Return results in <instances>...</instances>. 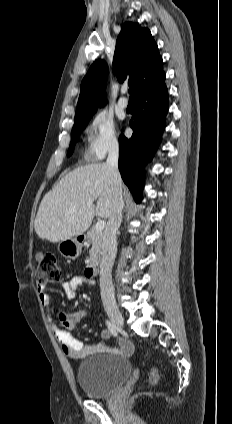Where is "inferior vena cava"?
Returning <instances> with one entry per match:
<instances>
[{
	"label": "inferior vena cava",
	"mask_w": 232,
	"mask_h": 424,
	"mask_svg": "<svg viewBox=\"0 0 232 424\" xmlns=\"http://www.w3.org/2000/svg\"><path fill=\"white\" fill-rule=\"evenodd\" d=\"M119 145L116 140L110 143L106 165L110 171L114 185V206L102 236V258L100 264V292L104 304L115 303L114 286L112 282V267L117 252L116 232L122 222L121 177L118 170Z\"/></svg>",
	"instance_id": "602c4592"
}]
</instances>
